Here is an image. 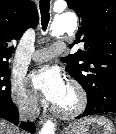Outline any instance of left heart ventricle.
<instances>
[{"label": "left heart ventricle", "instance_id": "b2bd125f", "mask_svg": "<svg viewBox=\"0 0 116 134\" xmlns=\"http://www.w3.org/2000/svg\"><path fill=\"white\" fill-rule=\"evenodd\" d=\"M73 103H74L73 95L69 90H67L65 97L58 106H61L63 108H70L73 105Z\"/></svg>", "mask_w": 116, "mask_h": 134}]
</instances>
